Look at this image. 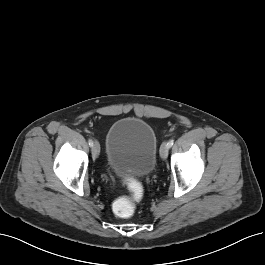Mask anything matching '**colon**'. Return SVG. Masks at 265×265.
Here are the masks:
<instances>
[{
	"mask_svg": "<svg viewBox=\"0 0 265 265\" xmlns=\"http://www.w3.org/2000/svg\"><path fill=\"white\" fill-rule=\"evenodd\" d=\"M133 197H123L119 199L115 205L116 213L122 218H127L133 215L135 211V200L140 198V184L135 179H128L126 182Z\"/></svg>",
	"mask_w": 265,
	"mask_h": 265,
	"instance_id": "5ec220e1",
	"label": "colon"
}]
</instances>
